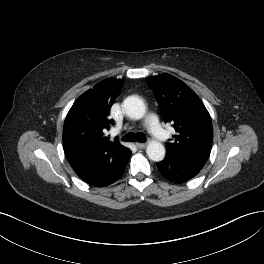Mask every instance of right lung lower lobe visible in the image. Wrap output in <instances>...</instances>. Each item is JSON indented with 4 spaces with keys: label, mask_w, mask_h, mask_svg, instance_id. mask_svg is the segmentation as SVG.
I'll return each instance as SVG.
<instances>
[{
    "label": "right lung lower lobe",
    "mask_w": 264,
    "mask_h": 264,
    "mask_svg": "<svg viewBox=\"0 0 264 264\" xmlns=\"http://www.w3.org/2000/svg\"><path fill=\"white\" fill-rule=\"evenodd\" d=\"M131 152L126 149L119 158L106 155L70 162L77 175L86 183L95 187H105L117 181L123 174Z\"/></svg>",
    "instance_id": "98d812e1"
}]
</instances>
